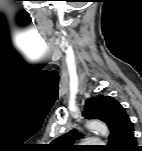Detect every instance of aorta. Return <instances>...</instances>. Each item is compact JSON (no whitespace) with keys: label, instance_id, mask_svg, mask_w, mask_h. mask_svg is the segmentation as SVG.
<instances>
[{"label":"aorta","instance_id":"obj_1","mask_svg":"<svg viewBox=\"0 0 142 151\" xmlns=\"http://www.w3.org/2000/svg\"><path fill=\"white\" fill-rule=\"evenodd\" d=\"M85 127L88 130L94 131L103 137L109 136V129L107 125L99 120H90L85 124Z\"/></svg>","mask_w":142,"mask_h":151}]
</instances>
